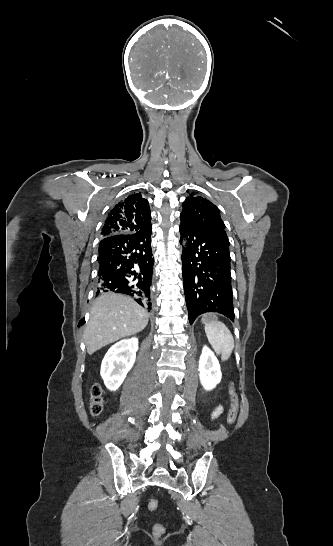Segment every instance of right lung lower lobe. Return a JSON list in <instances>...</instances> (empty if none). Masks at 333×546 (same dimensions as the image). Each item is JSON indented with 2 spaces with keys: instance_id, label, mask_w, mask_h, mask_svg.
<instances>
[{
  "instance_id": "right-lung-lower-lobe-1",
  "label": "right lung lower lobe",
  "mask_w": 333,
  "mask_h": 546,
  "mask_svg": "<svg viewBox=\"0 0 333 546\" xmlns=\"http://www.w3.org/2000/svg\"><path fill=\"white\" fill-rule=\"evenodd\" d=\"M151 229L150 226L135 233L102 237L97 257L99 283L96 295L111 291L126 294L151 309L154 264Z\"/></svg>"
}]
</instances>
